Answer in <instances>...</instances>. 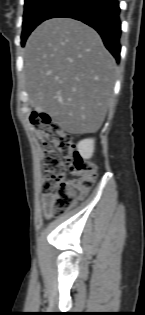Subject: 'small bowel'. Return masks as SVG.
<instances>
[{
    "label": "small bowel",
    "instance_id": "c3829d8e",
    "mask_svg": "<svg viewBox=\"0 0 145 315\" xmlns=\"http://www.w3.org/2000/svg\"><path fill=\"white\" fill-rule=\"evenodd\" d=\"M51 199L52 197L49 195H44L42 197V206H43L44 214L46 217H51L53 214V211L51 208Z\"/></svg>",
    "mask_w": 145,
    "mask_h": 315
}]
</instances>
